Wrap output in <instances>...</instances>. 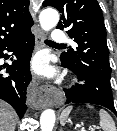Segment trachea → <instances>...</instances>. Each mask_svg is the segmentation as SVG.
Instances as JSON below:
<instances>
[{
    "instance_id": "1",
    "label": "trachea",
    "mask_w": 117,
    "mask_h": 131,
    "mask_svg": "<svg viewBox=\"0 0 117 131\" xmlns=\"http://www.w3.org/2000/svg\"><path fill=\"white\" fill-rule=\"evenodd\" d=\"M45 42H46V43L55 44V45H63V44H57V43H55V42H53V41H51V40H45Z\"/></svg>"
}]
</instances>
